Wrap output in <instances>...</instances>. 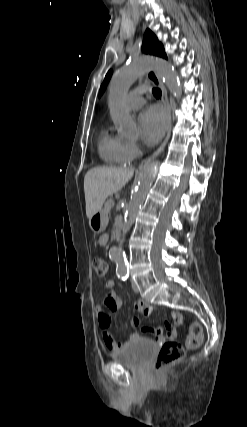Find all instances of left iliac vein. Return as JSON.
I'll use <instances>...</instances> for the list:
<instances>
[{
    "instance_id": "left-iliac-vein-1",
    "label": "left iliac vein",
    "mask_w": 247,
    "mask_h": 427,
    "mask_svg": "<svg viewBox=\"0 0 247 427\" xmlns=\"http://www.w3.org/2000/svg\"><path fill=\"white\" fill-rule=\"evenodd\" d=\"M132 289L135 293H138L139 289L135 281H131Z\"/></svg>"
}]
</instances>
